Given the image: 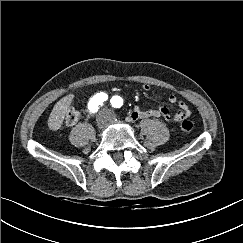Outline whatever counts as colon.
Listing matches in <instances>:
<instances>
[{"label": "colon", "mask_w": 243, "mask_h": 243, "mask_svg": "<svg viewBox=\"0 0 243 243\" xmlns=\"http://www.w3.org/2000/svg\"><path fill=\"white\" fill-rule=\"evenodd\" d=\"M80 112L76 109H70L66 115L65 122L68 125H73L80 119ZM193 124L189 120H183L180 124V130L183 133H188L192 130Z\"/></svg>", "instance_id": "obj_1"}]
</instances>
